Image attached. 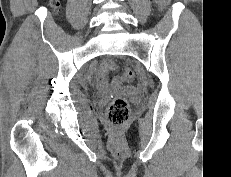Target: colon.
<instances>
[{
  "instance_id": "obj_1",
  "label": "colon",
  "mask_w": 231,
  "mask_h": 177,
  "mask_svg": "<svg viewBox=\"0 0 231 177\" xmlns=\"http://www.w3.org/2000/svg\"><path fill=\"white\" fill-rule=\"evenodd\" d=\"M160 4H163L165 0H157ZM49 4L53 8L59 6V0H49ZM122 83H130L134 78V72L130 68H125L121 73ZM131 107L127 99L123 97L114 98L109 104L106 111V119L108 123L114 128L123 126L130 118Z\"/></svg>"
}]
</instances>
